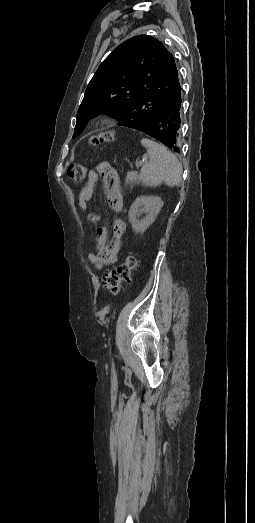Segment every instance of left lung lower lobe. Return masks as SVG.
<instances>
[{"mask_svg":"<svg viewBox=\"0 0 255 523\" xmlns=\"http://www.w3.org/2000/svg\"><path fill=\"white\" fill-rule=\"evenodd\" d=\"M180 93L181 87L176 88L175 92L171 93L169 102L159 110L160 115H152L151 121L134 127V129L144 130L147 135L155 137L161 146L169 148L172 152L179 148L178 136H180L181 119L179 114H181V106L185 104V99L181 97Z\"/></svg>","mask_w":255,"mask_h":523,"instance_id":"left-lung-lower-lobe-1","label":"left lung lower lobe"}]
</instances>
